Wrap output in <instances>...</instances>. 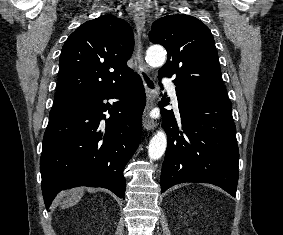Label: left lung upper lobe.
I'll return each mask as SVG.
<instances>
[{
    "instance_id": "obj_1",
    "label": "left lung upper lobe",
    "mask_w": 283,
    "mask_h": 235,
    "mask_svg": "<svg viewBox=\"0 0 283 235\" xmlns=\"http://www.w3.org/2000/svg\"><path fill=\"white\" fill-rule=\"evenodd\" d=\"M149 39L168 53L159 76L176 77V87L198 96L228 99L214 38L200 20L185 14L161 17L153 23Z\"/></svg>"
}]
</instances>
